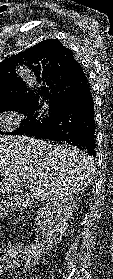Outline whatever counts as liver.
<instances>
[{
	"label": "liver",
	"mask_w": 113,
	"mask_h": 279,
	"mask_svg": "<svg viewBox=\"0 0 113 279\" xmlns=\"http://www.w3.org/2000/svg\"><path fill=\"white\" fill-rule=\"evenodd\" d=\"M95 174L94 160L83 150L27 136L0 137L3 194L26 182L32 200L54 202L90 186Z\"/></svg>",
	"instance_id": "obj_1"
}]
</instances>
